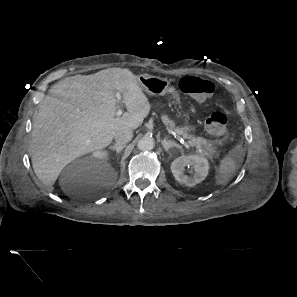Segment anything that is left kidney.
Returning a JSON list of instances; mask_svg holds the SVG:
<instances>
[{
	"label": "left kidney",
	"mask_w": 297,
	"mask_h": 297,
	"mask_svg": "<svg viewBox=\"0 0 297 297\" xmlns=\"http://www.w3.org/2000/svg\"><path fill=\"white\" fill-rule=\"evenodd\" d=\"M186 166L191 168L192 175L188 176L185 174ZM171 171L179 183L192 187L206 178L209 171V163L204 156H181L172 162Z\"/></svg>",
	"instance_id": "obj_1"
}]
</instances>
